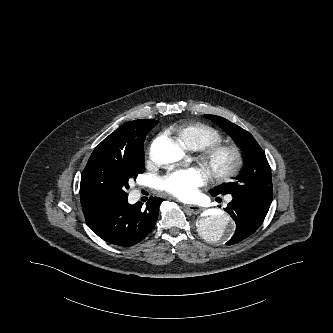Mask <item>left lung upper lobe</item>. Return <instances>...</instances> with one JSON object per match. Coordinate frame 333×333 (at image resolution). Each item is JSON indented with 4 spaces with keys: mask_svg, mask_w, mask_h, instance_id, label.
I'll return each mask as SVG.
<instances>
[{
    "mask_svg": "<svg viewBox=\"0 0 333 333\" xmlns=\"http://www.w3.org/2000/svg\"><path fill=\"white\" fill-rule=\"evenodd\" d=\"M220 125L242 147L246 161L241 173L233 182L219 185L210 193L212 196L230 194L232 197H248L272 202L273 188L271 168L265 153L254 137L238 125L225 118L206 115Z\"/></svg>",
    "mask_w": 333,
    "mask_h": 333,
    "instance_id": "obj_1",
    "label": "left lung upper lobe"
}]
</instances>
